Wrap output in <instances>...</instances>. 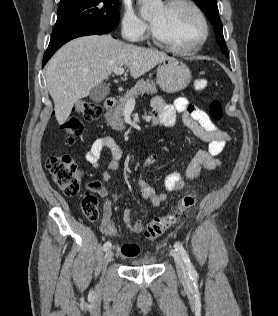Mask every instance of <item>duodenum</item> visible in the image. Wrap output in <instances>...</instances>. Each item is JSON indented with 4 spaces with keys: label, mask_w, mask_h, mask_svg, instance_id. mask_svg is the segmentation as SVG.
<instances>
[{
    "label": "duodenum",
    "mask_w": 278,
    "mask_h": 316,
    "mask_svg": "<svg viewBox=\"0 0 278 316\" xmlns=\"http://www.w3.org/2000/svg\"><path fill=\"white\" fill-rule=\"evenodd\" d=\"M116 99L114 97H108L104 100L103 106L105 109H111L115 106Z\"/></svg>",
    "instance_id": "obj_1"
}]
</instances>
